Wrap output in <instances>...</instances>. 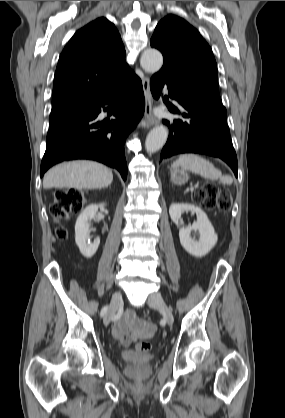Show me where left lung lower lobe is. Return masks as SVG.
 I'll list each match as a JSON object with an SVG mask.
<instances>
[{"label": "left lung lower lobe", "instance_id": "left-lung-lower-lobe-1", "mask_svg": "<svg viewBox=\"0 0 285 418\" xmlns=\"http://www.w3.org/2000/svg\"><path fill=\"white\" fill-rule=\"evenodd\" d=\"M163 87L169 89L163 101H168L169 97L176 100L182 110L173 108L170 111L182 118L163 120L169 127V137L160 161L181 153L207 154L223 159L237 176V157L222 102L188 89L167 72H158L150 80L155 99L161 96Z\"/></svg>", "mask_w": 285, "mask_h": 418}]
</instances>
